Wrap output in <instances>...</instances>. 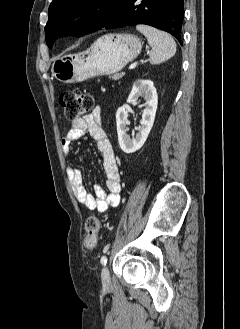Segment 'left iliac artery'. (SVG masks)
Instances as JSON below:
<instances>
[{
    "instance_id": "left-iliac-artery-1",
    "label": "left iliac artery",
    "mask_w": 240,
    "mask_h": 329,
    "mask_svg": "<svg viewBox=\"0 0 240 329\" xmlns=\"http://www.w3.org/2000/svg\"><path fill=\"white\" fill-rule=\"evenodd\" d=\"M100 263H101L102 265H106V263H107V256H106V255H103V256L101 257V259H100Z\"/></svg>"
}]
</instances>
